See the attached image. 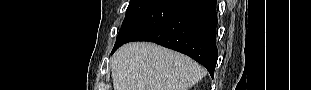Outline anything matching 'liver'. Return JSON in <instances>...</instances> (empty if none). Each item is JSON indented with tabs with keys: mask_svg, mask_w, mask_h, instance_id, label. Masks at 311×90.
<instances>
[{
	"mask_svg": "<svg viewBox=\"0 0 311 90\" xmlns=\"http://www.w3.org/2000/svg\"><path fill=\"white\" fill-rule=\"evenodd\" d=\"M110 67L114 90H188L206 73L188 56L148 42L123 45Z\"/></svg>",
	"mask_w": 311,
	"mask_h": 90,
	"instance_id": "6515ba94",
	"label": "liver"
}]
</instances>
